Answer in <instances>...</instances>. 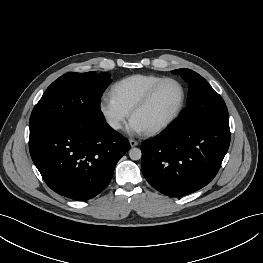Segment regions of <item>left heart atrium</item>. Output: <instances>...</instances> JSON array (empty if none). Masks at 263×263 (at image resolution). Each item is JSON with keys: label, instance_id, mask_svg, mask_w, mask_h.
<instances>
[{"label": "left heart atrium", "instance_id": "39dd6f15", "mask_svg": "<svg viewBox=\"0 0 263 263\" xmlns=\"http://www.w3.org/2000/svg\"><path fill=\"white\" fill-rule=\"evenodd\" d=\"M127 130L130 133H140L143 132V128L141 127V125L134 120L133 118L130 120L128 126H127Z\"/></svg>", "mask_w": 263, "mask_h": 263}]
</instances>
